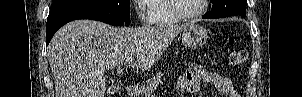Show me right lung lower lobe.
<instances>
[{
    "instance_id": "obj_1",
    "label": "right lung lower lobe",
    "mask_w": 302,
    "mask_h": 97,
    "mask_svg": "<svg viewBox=\"0 0 302 97\" xmlns=\"http://www.w3.org/2000/svg\"><path fill=\"white\" fill-rule=\"evenodd\" d=\"M76 19H91L101 21L114 26H121L125 22L115 15L97 9H78L59 13L47 18V45L55 32L64 24Z\"/></svg>"
}]
</instances>
